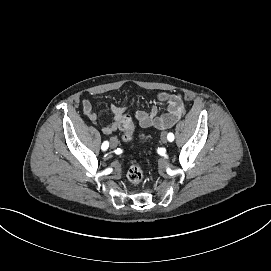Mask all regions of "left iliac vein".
<instances>
[{
  "mask_svg": "<svg viewBox=\"0 0 271 271\" xmlns=\"http://www.w3.org/2000/svg\"><path fill=\"white\" fill-rule=\"evenodd\" d=\"M167 136H168L167 132L164 131V132L161 133V140H162L163 143L168 142V137Z\"/></svg>",
  "mask_w": 271,
  "mask_h": 271,
  "instance_id": "4c4485c4",
  "label": "left iliac vein"
}]
</instances>
